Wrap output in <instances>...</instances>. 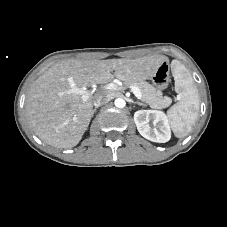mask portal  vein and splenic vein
<instances>
[{
  "mask_svg": "<svg viewBox=\"0 0 227 227\" xmlns=\"http://www.w3.org/2000/svg\"><path fill=\"white\" fill-rule=\"evenodd\" d=\"M69 84H70V89L66 91L67 94H77L80 95L83 99V101H86L89 99V97L92 95L93 91H89L87 90L85 87L82 88H78L76 87L74 81L72 78H68ZM131 92H133V94L135 95V97L137 99H142V93L141 91L135 87V86H131ZM104 89L106 90H118V86L114 83H109L107 85L104 86Z\"/></svg>",
  "mask_w": 227,
  "mask_h": 227,
  "instance_id": "obj_1",
  "label": "portal vein and splenic vein"
}]
</instances>
